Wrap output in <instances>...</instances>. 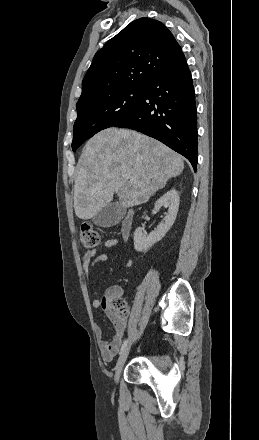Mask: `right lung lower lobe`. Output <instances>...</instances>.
Instances as JSON below:
<instances>
[{
    "label": "right lung lower lobe",
    "instance_id": "98d812e1",
    "mask_svg": "<svg viewBox=\"0 0 259 440\" xmlns=\"http://www.w3.org/2000/svg\"><path fill=\"white\" fill-rule=\"evenodd\" d=\"M153 137L197 167V117L192 77L185 56L148 86L138 107L114 125Z\"/></svg>",
    "mask_w": 259,
    "mask_h": 440
}]
</instances>
